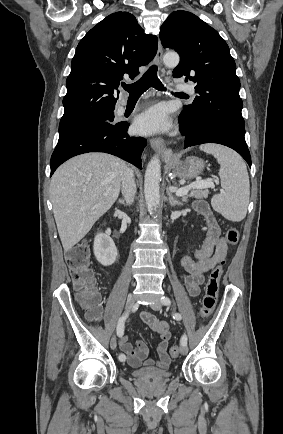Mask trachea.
Returning <instances> with one entry per match:
<instances>
[{"mask_svg":"<svg viewBox=\"0 0 283 434\" xmlns=\"http://www.w3.org/2000/svg\"><path fill=\"white\" fill-rule=\"evenodd\" d=\"M157 71L158 67L156 65H152L137 82L133 84H124L123 88L129 92V97H140L150 87H153L158 91L166 90L158 78ZM178 94L187 96L184 93Z\"/></svg>","mask_w":283,"mask_h":434,"instance_id":"3493384b","label":"trachea"}]
</instances>
